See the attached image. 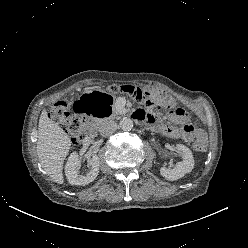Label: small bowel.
<instances>
[{"label":"small bowel","instance_id":"obj_1","mask_svg":"<svg viewBox=\"0 0 248 248\" xmlns=\"http://www.w3.org/2000/svg\"><path fill=\"white\" fill-rule=\"evenodd\" d=\"M140 120H145L151 124L155 129L161 131L164 135L173 139H182L185 142H192L193 140H206V134L203 130L195 128L191 123L187 122V118L180 119L174 117L175 120L182 123V128L178 129L171 125L161 124L158 117L152 113H145L143 110H138Z\"/></svg>","mask_w":248,"mask_h":248}]
</instances>
